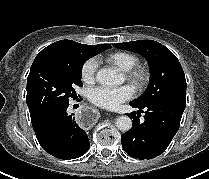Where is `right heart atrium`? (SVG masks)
Returning a JSON list of instances; mask_svg holds the SVG:
<instances>
[{
  "instance_id": "right-heart-atrium-1",
  "label": "right heart atrium",
  "mask_w": 209,
  "mask_h": 179,
  "mask_svg": "<svg viewBox=\"0 0 209 179\" xmlns=\"http://www.w3.org/2000/svg\"><path fill=\"white\" fill-rule=\"evenodd\" d=\"M98 63L95 59H88L81 67L80 76L85 84H93L96 78Z\"/></svg>"
}]
</instances>
